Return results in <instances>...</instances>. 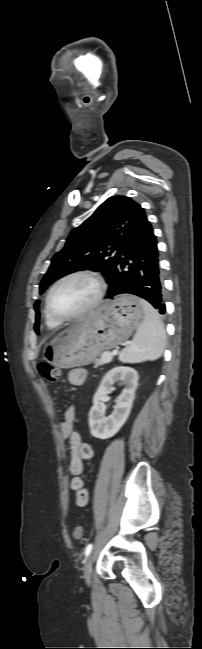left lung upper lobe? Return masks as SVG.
Listing matches in <instances>:
<instances>
[{
	"instance_id": "obj_1",
	"label": "left lung upper lobe",
	"mask_w": 202,
	"mask_h": 649,
	"mask_svg": "<svg viewBox=\"0 0 202 649\" xmlns=\"http://www.w3.org/2000/svg\"><path fill=\"white\" fill-rule=\"evenodd\" d=\"M145 216L144 209L126 196H112L82 225L74 229L64 248L56 253L49 270L40 283V293L59 277L82 269L104 270L111 280L123 242L137 222ZM39 301L35 302V332H39Z\"/></svg>"
}]
</instances>
